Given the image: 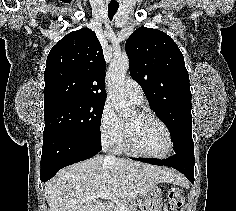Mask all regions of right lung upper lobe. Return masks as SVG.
<instances>
[{
    "label": "right lung upper lobe",
    "instance_id": "cb5924a9",
    "mask_svg": "<svg viewBox=\"0 0 236 211\" xmlns=\"http://www.w3.org/2000/svg\"><path fill=\"white\" fill-rule=\"evenodd\" d=\"M106 63L96 34L82 28L49 52L44 72V104L63 99L105 101Z\"/></svg>",
    "mask_w": 236,
    "mask_h": 211
}]
</instances>
